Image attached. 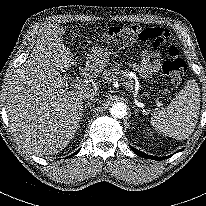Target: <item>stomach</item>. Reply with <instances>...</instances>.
<instances>
[{
	"mask_svg": "<svg viewBox=\"0 0 206 206\" xmlns=\"http://www.w3.org/2000/svg\"><path fill=\"white\" fill-rule=\"evenodd\" d=\"M102 51L106 52L108 55H109V52L107 51V49H101ZM143 96L145 98H149L150 97V92L149 91H146L143 93Z\"/></svg>",
	"mask_w": 206,
	"mask_h": 206,
	"instance_id": "obj_1",
	"label": "stomach"
}]
</instances>
